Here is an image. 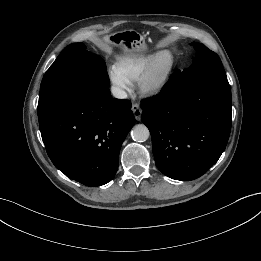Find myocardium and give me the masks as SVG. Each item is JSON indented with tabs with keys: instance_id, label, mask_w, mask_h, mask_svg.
Listing matches in <instances>:
<instances>
[{
	"instance_id": "f54148a6",
	"label": "myocardium",
	"mask_w": 261,
	"mask_h": 261,
	"mask_svg": "<svg viewBox=\"0 0 261 261\" xmlns=\"http://www.w3.org/2000/svg\"><path fill=\"white\" fill-rule=\"evenodd\" d=\"M168 57L167 66L158 70L157 65L162 57ZM175 67V58L170 50H161L154 54L145 71L138 79V89L145 96H155L168 84Z\"/></svg>"
}]
</instances>
